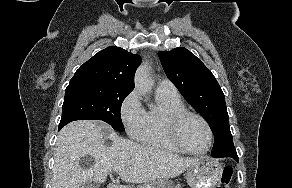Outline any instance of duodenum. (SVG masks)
<instances>
[{"label": "duodenum", "instance_id": "410a0bca", "mask_svg": "<svg viewBox=\"0 0 292 188\" xmlns=\"http://www.w3.org/2000/svg\"><path fill=\"white\" fill-rule=\"evenodd\" d=\"M107 188H122V187L118 186V185H115V184H111Z\"/></svg>", "mask_w": 292, "mask_h": 188}]
</instances>
